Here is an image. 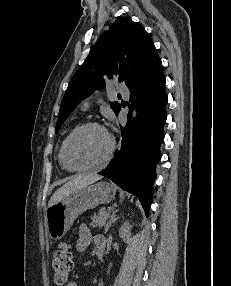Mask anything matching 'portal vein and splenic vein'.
Masks as SVG:
<instances>
[{"label":"portal vein and splenic vein","instance_id":"obj_1","mask_svg":"<svg viewBox=\"0 0 231 286\" xmlns=\"http://www.w3.org/2000/svg\"><path fill=\"white\" fill-rule=\"evenodd\" d=\"M113 210H114L113 207H109V208H108V211H109V212H111V211H113Z\"/></svg>","mask_w":231,"mask_h":286}]
</instances>
